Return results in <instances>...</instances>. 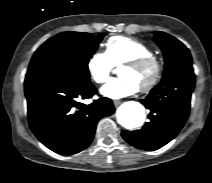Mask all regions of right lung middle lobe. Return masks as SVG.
Wrapping results in <instances>:
<instances>
[{
	"label": "right lung middle lobe",
	"instance_id": "1",
	"mask_svg": "<svg viewBox=\"0 0 212 183\" xmlns=\"http://www.w3.org/2000/svg\"><path fill=\"white\" fill-rule=\"evenodd\" d=\"M105 35L69 31L48 39L34 53L26 77L89 79V59Z\"/></svg>",
	"mask_w": 212,
	"mask_h": 183
}]
</instances>
